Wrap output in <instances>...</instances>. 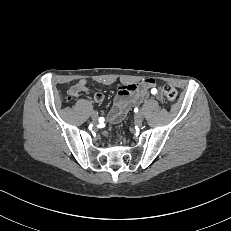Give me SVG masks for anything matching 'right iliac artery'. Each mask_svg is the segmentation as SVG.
Returning <instances> with one entry per match:
<instances>
[{"mask_svg":"<svg viewBox=\"0 0 231 231\" xmlns=\"http://www.w3.org/2000/svg\"><path fill=\"white\" fill-rule=\"evenodd\" d=\"M99 122H100V123H103V122H104V118H103V117H100V118H99Z\"/></svg>","mask_w":231,"mask_h":231,"instance_id":"right-iliac-artery-1","label":"right iliac artery"}]
</instances>
